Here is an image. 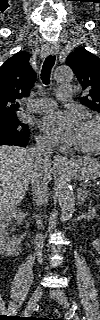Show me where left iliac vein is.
I'll return each instance as SVG.
<instances>
[{
  "instance_id": "1",
  "label": "left iliac vein",
  "mask_w": 100,
  "mask_h": 320,
  "mask_svg": "<svg viewBox=\"0 0 100 320\" xmlns=\"http://www.w3.org/2000/svg\"><path fill=\"white\" fill-rule=\"evenodd\" d=\"M51 297L56 300L61 306L69 308V301L65 293L60 289H54L50 292ZM73 320H80L77 314L73 315Z\"/></svg>"
}]
</instances>
